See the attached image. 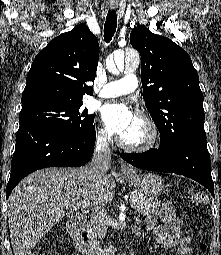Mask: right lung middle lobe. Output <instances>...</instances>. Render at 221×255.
Returning a JSON list of instances; mask_svg holds the SVG:
<instances>
[{
	"mask_svg": "<svg viewBox=\"0 0 221 255\" xmlns=\"http://www.w3.org/2000/svg\"><path fill=\"white\" fill-rule=\"evenodd\" d=\"M82 102L50 103L22 109L20 125L34 124L53 128L68 134H86L93 128L94 116L81 108Z\"/></svg>",
	"mask_w": 221,
	"mask_h": 255,
	"instance_id": "dd1d6c3e",
	"label": "right lung middle lobe"
}]
</instances>
